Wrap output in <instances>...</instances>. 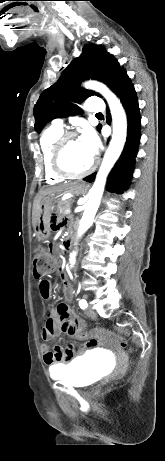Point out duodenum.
Listing matches in <instances>:
<instances>
[{"label":"duodenum","mask_w":165,"mask_h":461,"mask_svg":"<svg viewBox=\"0 0 165 461\" xmlns=\"http://www.w3.org/2000/svg\"><path fill=\"white\" fill-rule=\"evenodd\" d=\"M72 240H73V235H72L71 232H69L67 234L66 238H65V242H66V244H70L72 242Z\"/></svg>","instance_id":"1"}]
</instances>
